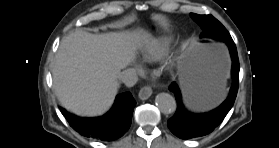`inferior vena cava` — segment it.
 <instances>
[{
    "label": "inferior vena cava",
    "instance_id": "1",
    "mask_svg": "<svg viewBox=\"0 0 279 148\" xmlns=\"http://www.w3.org/2000/svg\"><path fill=\"white\" fill-rule=\"evenodd\" d=\"M118 79L127 87H133L138 81V77L135 71L132 69H127L120 72L118 75Z\"/></svg>",
    "mask_w": 279,
    "mask_h": 148
}]
</instances>
